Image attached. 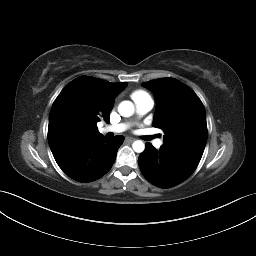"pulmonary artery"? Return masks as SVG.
I'll use <instances>...</instances> for the list:
<instances>
[{
  "instance_id": "pulmonary-artery-1",
  "label": "pulmonary artery",
  "mask_w": 256,
  "mask_h": 256,
  "mask_svg": "<svg viewBox=\"0 0 256 256\" xmlns=\"http://www.w3.org/2000/svg\"><path fill=\"white\" fill-rule=\"evenodd\" d=\"M136 109L139 115H144L148 113L154 105V102L152 99H146L142 101H138L135 103ZM128 129L127 123H117L112 125L104 126L100 129L102 133L112 132V133H121ZM163 141L161 139H156L153 144L156 147H160L162 145Z\"/></svg>"
}]
</instances>
